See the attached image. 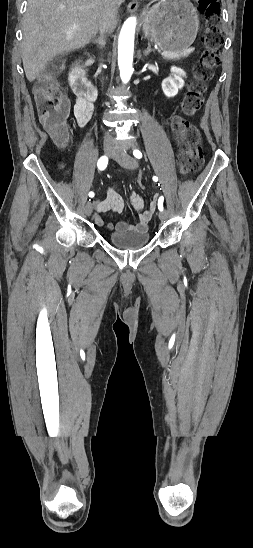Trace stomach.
Returning <instances> with one entry per match:
<instances>
[{
    "mask_svg": "<svg viewBox=\"0 0 253 548\" xmlns=\"http://www.w3.org/2000/svg\"><path fill=\"white\" fill-rule=\"evenodd\" d=\"M198 27L197 10L189 0H160L147 11L143 32L164 51L181 53L194 42Z\"/></svg>",
    "mask_w": 253,
    "mask_h": 548,
    "instance_id": "stomach-1",
    "label": "stomach"
}]
</instances>
